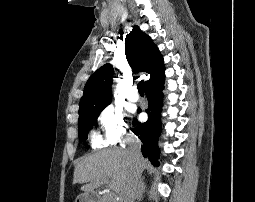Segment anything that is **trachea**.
Here are the masks:
<instances>
[{
    "instance_id": "3493384b",
    "label": "trachea",
    "mask_w": 255,
    "mask_h": 202,
    "mask_svg": "<svg viewBox=\"0 0 255 202\" xmlns=\"http://www.w3.org/2000/svg\"><path fill=\"white\" fill-rule=\"evenodd\" d=\"M138 91L140 94H144V81L141 80L139 83H138Z\"/></svg>"
}]
</instances>
